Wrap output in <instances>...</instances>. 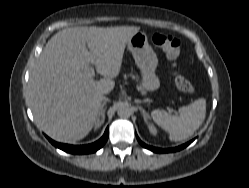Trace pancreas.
I'll use <instances>...</instances> for the list:
<instances>
[{
    "label": "pancreas",
    "mask_w": 249,
    "mask_h": 188,
    "mask_svg": "<svg viewBox=\"0 0 249 188\" xmlns=\"http://www.w3.org/2000/svg\"><path fill=\"white\" fill-rule=\"evenodd\" d=\"M128 76H130L132 79H135V80L138 79V77H137L136 75H134L133 73H131L130 75H126V74H125V75H124V78L127 79ZM139 90H141V92L144 93V91H143L141 88H139Z\"/></svg>",
    "instance_id": "1"
}]
</instances>
